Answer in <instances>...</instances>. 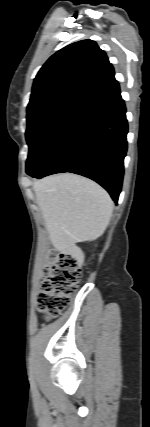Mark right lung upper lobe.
<instances>
[{"label":"right lung upper lobe","instance_id":"obj_1","mask_svg":"<svg viewBox=\"0 0 150 427\" xmlns=\"http://www.w3.org/2000/svg\"><path fill=\"white\" fill-rule=\"evenodd\" d=\"M118 82L105 52L92 40L56 52L38 72L27 114L52 105L82 107Z\"/></svg>","mask_w":150,"mask_h":427}]
</instances>
